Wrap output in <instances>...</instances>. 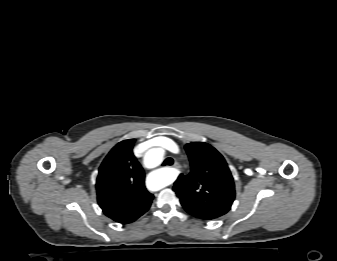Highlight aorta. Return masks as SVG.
<instances>
[{"mask_svg":"<svg viewBox=\"0 0 337 261\" xmlns=\"http://www.w3.org/2000/svg\"><path fill=\"white\" fill-rule=\"evenodd\" d=\"M163 161V150L161 148H151L149 149L144 157V163L148 168H154L160 165ZM176 174L174 169H160L156 171L155 175L160 182V188L167 186L171 181L172 177Z\"/></svg>","mask_w":337,"mask_h":261,"instance_id":"obj_1","label":"aorta"}]
</instances>
